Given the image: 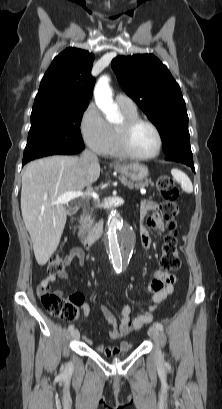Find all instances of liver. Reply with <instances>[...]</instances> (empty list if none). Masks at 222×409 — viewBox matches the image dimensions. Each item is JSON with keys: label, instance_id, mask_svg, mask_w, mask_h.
I'll list each match as a JSON object with an SVG mask.
<instances>
[{"label": "liver", "instance_id": "6515ba94", "mask_svg": "<svg viewBox=\"0 0 222 409\" xmlns=\"http://www.w3.org/2000/svg\"><path fill=\"white\" fill-rule=\"evenodd\" d=\"M99 176L98 162L84 165L79 157L50 156L26 166L21 211L39 265H45L56 251L66 224L68 211L52 201L66 192L90 188Z\"/></svg>", "mask_w": 222, "mask_h": 409}]
</instances>
